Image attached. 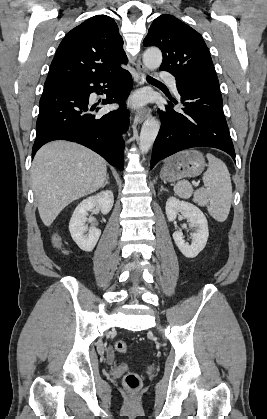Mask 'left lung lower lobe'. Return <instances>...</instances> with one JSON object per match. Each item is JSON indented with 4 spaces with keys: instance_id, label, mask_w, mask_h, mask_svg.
I'll use <instances>...</instances> for the list:
<instances>
[{
    "instance_id": "obj_1",
    "label": "left lung lower lobe",
    "mask_w": 267,
    "mask_h": 419,
    "mask_svg": "<svg viewBox=\"0 0 267 419\" xmlns=\"http://www.w3.org/2000/svg\"><path fill=\"white\" fill-rule=\"evenodd\" d=\"M180 83L176 80L177 86ZM178 92L182 107L174 108L178 102L169 97L165 109H158L161 127L154 142L150 168L178 151L199 146L218 148L235 160L220 89L206 86L178 88Z\"/></svg>"
}]
</instances>
